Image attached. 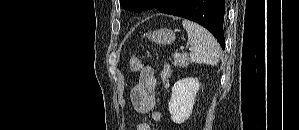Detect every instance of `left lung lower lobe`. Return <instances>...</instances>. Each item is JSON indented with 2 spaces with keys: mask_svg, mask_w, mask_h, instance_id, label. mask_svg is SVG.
Returning <instances> with one entry per match:
<instances>
[{
  "mask_svg": "<svg viewBox=\"0 0 299 130\" xmlns=\"http://www.w3.org/2000/svg\"><path fill=\"white\" fill-rule=\"evenodd\" d=\"M154 6L162 13L199 23L214 35L224 50L225 0H161L146 9H152Z\"/></svg>",
  "mask_w": 299,
  "mask_h": 130,
  "instance_id": "left-lung-lower-lobe-1",
  "label": "left lung lower lobe"
}]
</instances>
